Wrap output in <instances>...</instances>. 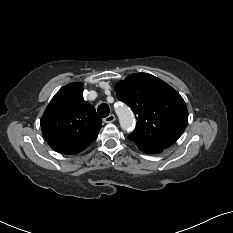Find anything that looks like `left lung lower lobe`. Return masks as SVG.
Instances as JSON below:
<instances>
[{
  "mask_svg": "<svg viewBox=\"0 0 233 233\" xmlns=\"http://www.w3.org/2000/svg\"><path fill=\"white\" fill-rule=\"evenodd\" d=\"M141 151L148 153V154H155L162 152L163 149L160 148H139Z\"/></svg>",
  "mask_w": 233,
  "mask_h": 233,
  "instance_id": "left-lung-lower-lobe-1",
  "label": "left lung lower lobe"
}]
</instances>
